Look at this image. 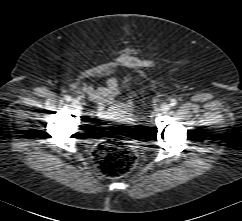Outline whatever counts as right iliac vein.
I'll return each instance as SVG.
<instances>
[{"mask_svg": "<svg viewBox=\"0 0 242 221\" xmlns=\"http://www.w3.org/2000/svg\"><path fill=\"white\" fill-rule=\"evenodd\" d=\"M72 105H73L74 108H79L80 107V103L77 100H73L72 101Z\"/></svg>", "mask_w": 242, "mask_h": 221, "instance_id": "obj_1", "label": "right iliac vein"}]
</instances>
